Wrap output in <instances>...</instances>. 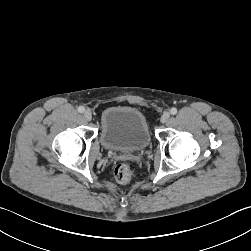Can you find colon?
I'll return each mask as SVG.
<instances>
[{"mask_svg":"<svg viewBox=\"0 0 251 251\" xmlns=\"http://www.w3.org/2000/svg\"><path fill=\"white\" fill-rule=\"evenodd\" d=\"M134 170L125 163H120L115 167L114 175L119 183H127L134 177Z\"/></svg>","mask_w":251,"mask_h":251,"instance_id":"obj_1","label":"colon"}]
</instances>
